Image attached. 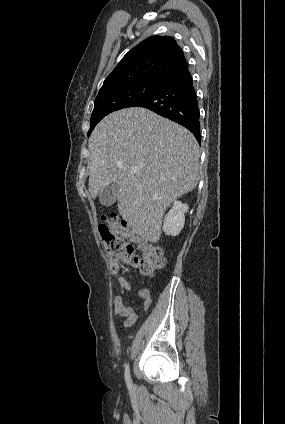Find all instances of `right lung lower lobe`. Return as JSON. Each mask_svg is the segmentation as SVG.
<instances>
[{"label": "right lung lower lobe", "mask_w": 285, "mask_h": 424, "mask_svg": "<svg viewBox=\"0 0 285 424\" xmlns=\"http://www.w3.org/2000/svg\"><path fill=\"white\" fill-rule=\"evenodd\" d=\"M130 107H144L175 121L190 130L201 142L197 96L188 69Z\"/></svg>", "instance_id": "1"}]
</instances>
